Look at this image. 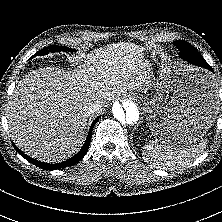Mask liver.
<instances>
[{
	"instance_id": "1",
	"label": "liver",
	"mask_w": 222,
	"mask_h": 222,
	"mask_svg": "<svg viewBox=\"0 0 222 222\" xmlns=\"http://www.w3.org/2000/svg\"><path fill=\"white\" fill-rule=\"evenodd\" d=\"M132 43L94 49L74 70L44 67L25 75L8 102L13 142L48 163L74 155L85 140L89 103L152 86V63Z\"/></svg>"
}]
</instances>
